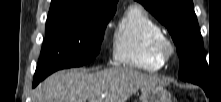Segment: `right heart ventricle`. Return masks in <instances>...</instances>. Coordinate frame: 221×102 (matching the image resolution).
Instances as JSON below:
<instances>
[{"label": "right heart ventricle", "instance_id": "1", "mask_svg": "<svg viewBox=\"0 0 221 102\" xmlns=\"http://www.w3.org/2000/svg\"><path fill=\"white\" fill-rule=\"evenodd\" d=\"M163 35L162 28L147 10L131 5L115 25L112 58L119 65L157 71L164 63L154 56L152 45Z\"/></svg>", "mask_w": 221, "mask_h": 102}]
</instances>
